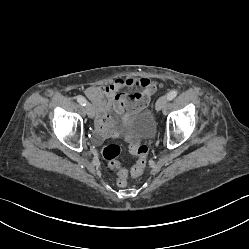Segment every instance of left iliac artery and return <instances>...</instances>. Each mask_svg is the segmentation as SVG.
<instances>
[{
  "label": "left iliac artery",
  "instance_id": "44dca946",
  "mask_svg": "<svg viewBox=\"0 0 249 249\" xmlns=\"http://www.w3.org/2000/svg\"><path fill=\"white\" fill-rule=\"evenodd\" d=\"M178 92L176 90H171L168 94H167V98L168 100H172L177 96Z\"/></svg>",
  "mask_w": 249,
  "mask_h": 249
}]
</instances>
